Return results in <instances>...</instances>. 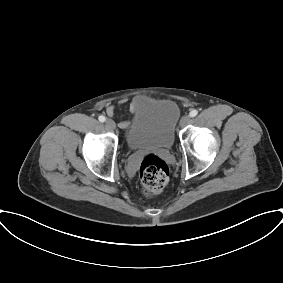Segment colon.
I'll list each match as a JSON object with an SVG mask.
<instances>
[{
	"mask_svg": "<svg viewBox=\"0 0 283 283\" xmlns=\"http://www.w3.org/2000/svg\"><path fill=\"white\" fill-rule=\"evenodd\" d=\"M169 174V168L162 159L153 154L145 156L139 169L144 193L152 195L161 192L168 183Z\"/></svg>",
	"mask_w": 283,
	"mask_h": 283,
	"instance_id": "5ec220e1",
	"label": "colon"
}]
</instances>
